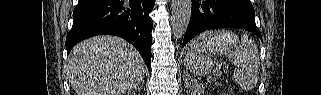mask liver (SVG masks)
I'll return each instance as SVG.
<instances>
[{
	"instance_id": "6515ba94",
	"label": "liver",
	"mask_w": 321,
	"mask_h": 95,
	"mask_svg": "<svg viewBox=\"0 0 321 95\" xmlns=\"http://www.w3.org/2000/svg\"><path fill=\"white\" fill-rule=\"evenodd\" d=\"M67 71L76 95H125L143 80L145 64L125 40L97 36L72 49Z\"/></svg>"
}]
</instances>
